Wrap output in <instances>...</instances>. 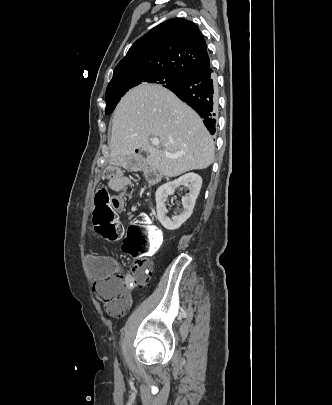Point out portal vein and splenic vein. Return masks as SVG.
Here are the masks:
<instances>
[{
	"label": "portal vein and splenic vein",
	"mask_w": 332,
	"mask_h": 405,
	"mask_svg": "<svg viewBox=\"0 0 332 405\" xmlns=\"http://www.w3.org/2000/svg\"><path fill=\"white\" fill-rule=\"evenodd\" d=\"M150 141H151V143H152L154 146H156V147H159V146H160V141H159L158 138H151ZM163 152H164L167 156H169V157L174 156V155H172L171 153H169V152L166 151V150H164Z\"/></svg>",
	"instance_id": "obj_1"
}]
</instances>
